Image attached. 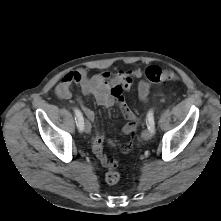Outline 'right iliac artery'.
<instances>
[{
	"mask_svg": "<svg viewBox=\"0 0 221 221\" xmlns=\"http://www.w3.org/2000/svg\"><path fill=\"white\" fill-rule=\"evenodd\" d=\"M75 112V115H76V123H77V127L80 131L83 130V127H84V118H83V115L82 113L80 112V110L78 109H75L74 110Z\"/></svg>",
	"mask_w": 221,
	"mask_h": 221,
	"instance_id": "obj_1",
	"label": "right iliac artery"
}]
</instances>
